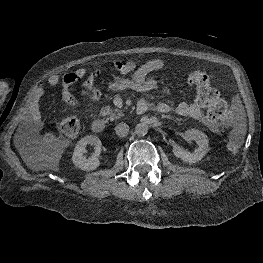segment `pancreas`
<instances>
[{"instance_id": "1", "label": "pancreas", "mask_w": 263, "mask_h": 263, "mask_svg": "<svg viewBox=\"0 0 263 263\" xmlns=\"http://www.w3.org/2000/svg\"><path fill=\"white\" fill-rule=\"evenodd\" d=\"M100 113L102 116H109V119L111 121L116 120L124 115L121 110L119 109L114 110L110 106L102 108Z\"/></svg>"}]
</instances>
